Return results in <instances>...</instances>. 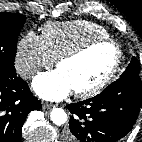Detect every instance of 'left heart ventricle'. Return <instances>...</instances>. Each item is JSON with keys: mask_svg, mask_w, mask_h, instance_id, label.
I'll return each instance as SVG.
<instances>
[{"mask_svg": "<svg viewBox=\"0 0 142 142\" xmlns=\"http://www.w3.org/2000/svg\"><path fill=\"white\" fill-rule=\"evenodd\" d=\"M116 57L110 45H100L83 56L63 62L59 67L72 90L85 89L100 81L111 69Z\"/></svg>", "mask_w": 142, "mask_h": 142, "instance_id": "left-heart-ventricle-1", "label": "left heart ventricle"}]
</instances>
